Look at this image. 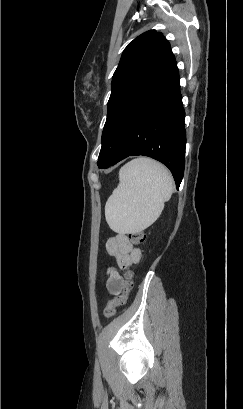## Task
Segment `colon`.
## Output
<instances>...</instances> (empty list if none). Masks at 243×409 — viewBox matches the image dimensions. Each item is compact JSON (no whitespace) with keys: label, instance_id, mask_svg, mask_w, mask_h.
Returning a JSON list of instances; mask_svg holds the SVG:
<instances>
[{"label":"colon","instance_id":"obj_1","mask_svg":"<svg viewBox=\"0 0 243 409\" xmlns=\"http://www.w3.org/2000/svg\"><path fill=\"white\" fill-rule=\"evenodd\" d=\"M128 237L133 244L139 245L144 243V241L146 240V232L143 230L132 231L129 233ZM131 288L132 270L126 269L124 272L122 293L110 300L103 310L104 316L106 318H111L115 314L117 308L123 306L126 303Z\"/></svg>","mask_w":243,"mask_h":409}]
</instances>
